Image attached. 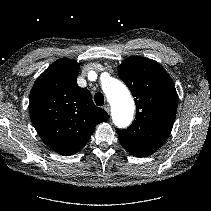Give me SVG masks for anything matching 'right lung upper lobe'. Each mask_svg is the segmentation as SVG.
Returning <instances> with one entry per match:
<instances>
[{"mask_svg": "<svg viewBox=\"0 0 211 211\" xmlns=\"http://www.w3.org/2000/svg\"><path fill=\"white\" fill-rule=\"evenodd\" d=\"M79 64L61 58L36 80L29 98L32 123L43 142L62 155L81 150L97 124L108 114L92 101L87 88L77 85Z\"/></svg>", "mask_w": 211, "mask_h": 211, "instance_id": "1", "label": "right lung upper lobe"}]
</instances>
